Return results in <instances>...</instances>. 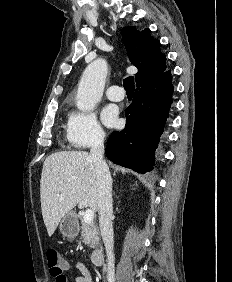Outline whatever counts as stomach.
Listing matches in <instances>:
<instances>
[{"mask_svg":"<svg viewBox=\"0 0 232 282\" xmlns=\"http://www.w3.org/2000/svg\"><path fill=\"white\" fill-rule=\"evenodd\" d=\"M59 230L63 237L75 238L79 233V224L75 213L68 212L59 222Z\"/></svg>","mask_w":232,"mask_h":282,"instance_id":"1","label":"stomach"}]
</instances>
